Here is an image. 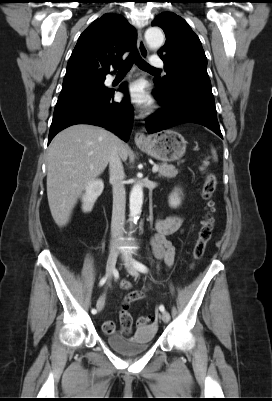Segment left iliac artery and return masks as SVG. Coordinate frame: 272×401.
<instances>
[{
  "mask_svg": "<svg viewBox=\"0 0 272 401\" xmlns=\"http://www.w3.org/2000/svg\"><path fill=\"white\" fill-rule=\"evenodd\" d=\"M134 266L138 271H140L142 273H147L148 272V268L144 264H142L140 262L135 261L134 262ZM159 309H160L161 312L165 311V307L163 305H160Z\"/></svg>",
  "mask_w": 272,
  "mask_h": 401,
  "instance_id": "left-iliac-artery-1",
  "label": "left iliac artery"
}]
</instances>
